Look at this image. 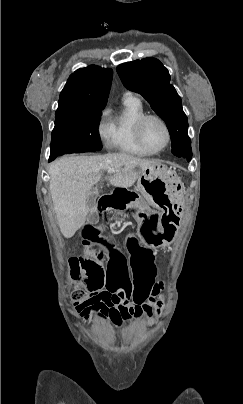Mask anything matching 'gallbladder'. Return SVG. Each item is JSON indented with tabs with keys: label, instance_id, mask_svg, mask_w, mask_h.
<instances>
[{
	"label": "gallbladder",
	"instance_id": "1",
	"mask_svg": "<svg viewBox=\"0 0 243 404\" xmlns=\"http://www.w3.org/2000/svg\"><path fill=\"white\" fill-rule=\"evenodd\" d=\"M99 196V192L97 190V188H92L91 193L89 195H87L86 198V218L89 219V224L90 225H95L97 218H98V213L95 210V202L97 200Z\"/></svg>",
	"mask_w": 243,
	"mask_h": 404
}]
</instances>
